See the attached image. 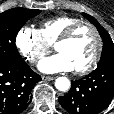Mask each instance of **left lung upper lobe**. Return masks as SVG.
I'll use <instances>...</instances> for the list:
<instances>
[{
    "mask_svg": "<svg viewBox=\"0 0 114 114\" xmlns=\"http://www.w3.org/2000/svg\"><path fill=\"white\" fill-rule=\"evenodd\" d=\"M83 16L96 26V28L98 29L99 34L103 40V50H102L100 61L98 63V67L114 64V43H113L110 35L97 22V20L95 18H93L92 16H90L86 13H83Z\"/></svg>",
    "mask_w": 114,
    "mask_h": 114,
    "instance_id": "obj_1",
    "label": "left lung upper lobe"
}]
</instances>
